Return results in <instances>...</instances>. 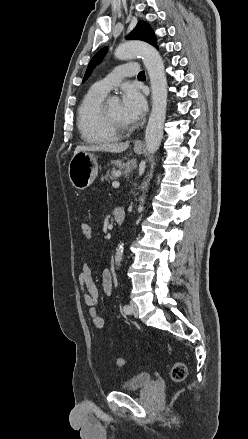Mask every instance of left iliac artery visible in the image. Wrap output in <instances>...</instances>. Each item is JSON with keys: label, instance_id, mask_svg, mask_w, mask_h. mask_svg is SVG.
Returning a JSON list of instances; mask_svg holds the SVG:
<instances>
[{"label": "left iliac artery", "instance_id": "left-iliac-artery-1", "mask_svg": "<svg viewBox=\"0 0 248 439\" xmlns=\"http://www.w3.org/2000/svg\"><path fill=\"white\" fill-rule=\"evenodd\" d=\"M123 312L126 314H130L131 313V307L129 305H124L123 306Z\"/></svg>", "mask_w": 248, "mask_h": 439}]
</instances>
